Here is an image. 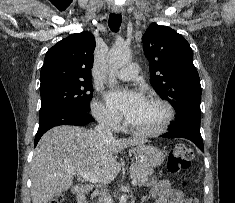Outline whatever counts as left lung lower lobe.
Here are the masks:
<instances>
[{
  "instance_id": "left-lung-lower-lobe-1",
  "label": "left lung lower lobe",
  "mask_w": 235,
  "mask_h": 203,
  "mask_svg": "<svg viewBox=\"0 0 235 203\" xmlns=\"http://www.w3.org/2000/svg\"><path fill=\"white\" fill-rule=\"evenodd\" d=\"M200 120V118L193 116L175 120L169 127L170 131L161 135V137L189 139L204 152L203 140L200 134Z\"/></svg>"
}]
</instances>
